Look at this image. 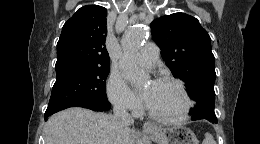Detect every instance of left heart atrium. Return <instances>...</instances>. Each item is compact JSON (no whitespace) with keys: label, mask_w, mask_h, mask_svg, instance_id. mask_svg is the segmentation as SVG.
<instances>
[{"label":"left heart atrium","mask_w":260,"mask_h":144,"mask_svg":"<svg viewBox=\"0 0 260 144\" xmlns=\"http://www.w3.org/2000/svg\"><path fill=\"white\" fill-rule=\"evenodd\" d=\"M149 95H150L149 91H145V92H144L143 97H144V99H145L146 101L148 100Z\"/></svg>","instance_id":"39dd6f15"}]
</instances>
